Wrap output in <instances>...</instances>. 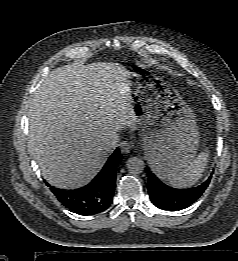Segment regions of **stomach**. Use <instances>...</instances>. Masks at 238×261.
<instances>
[{
  "label": "stomach",
  "mask_w": 238,
  "mask_h": 261,
  "mask_svg": "<svg viewBox=\"0 0 238 261\" xmlns=\"http://www.w3.org/2000/svg\"><path fill=\"white\" fill-rule=\"evenodd\" d=\"M124 77L135 95L131 105L140 118L146 159L160 179H169L183 171L198 150L195 115L179 92L146 61H129Z\"/></svg>",
  "instance_id": "obj_1"
}]
</instances>
